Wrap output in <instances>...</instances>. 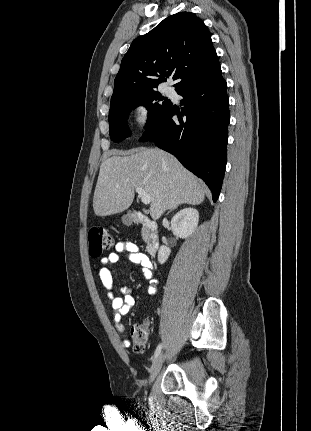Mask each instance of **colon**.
Here are the masks:
<instances>
[{
    "label": "colon",
    "instance_id": "5ec220e1",
    "mask_svg": "<svg viewBox=\"0 0 311 431\" xmlns=\"http://www.w3.org/2000/svg\"><path fill=\"white\" fill-rule=\"evenodd\" d=\"M114 246L110 233L103 228H94L89 232V253L91 257L97 258ZM150 323L145 321L136 324L131 330L133 350L142 353L146 349L150 335Z\"/></svg>",
    "mask_w": 311,
    "mask_h": 431
}]
</instances>
